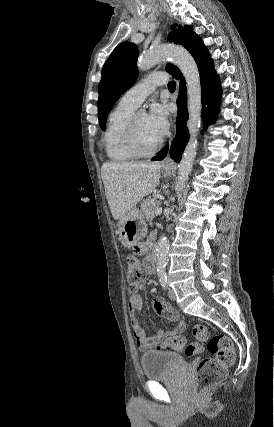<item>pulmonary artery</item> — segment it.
<instances>
[{"instance_id":"obj_1","label":"pulmonary artery","mask_w":274,"mask_h":427,"mask_svg":"<svg viewBox=\"0 0 274 427\" xmlns=\"http://www.w3.org/2000/svg\"><path fill=\"white\" fill-rule=\"evenodd\" d=\"M166 83L158 72H152L129 89L121 98L120 105L137 109L156 88Z\"/></svg>"}]
</instances>
